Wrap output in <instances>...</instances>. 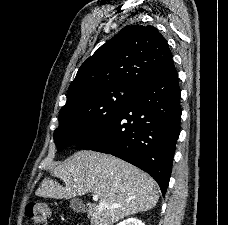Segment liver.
Instances as JSON below:
<instances>
[{
	"label": "liver",
	"instance_id": "6515ba94",
	"mask_svg": "<svg viewBox=\"0 0 228 225\" xmlns=\"http://www.w3.org/2000/svg\"><path fill=\"white\" fill-rule=\"evenodd\" d=\"M64 183L43 181L35 195L45 199H72L92 193L87 217L91 225H114L124 217L150 211L159 201L158 185L150 175L112 155L78 151L66 163L52 169ZM112 205H117L111 209Z\"/></svg>",
	"mask_w": 228,
	"mask_h": 225
}]
</instances>
